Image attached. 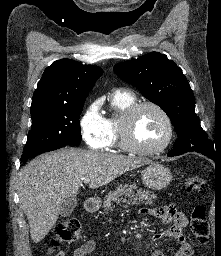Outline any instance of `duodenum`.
Wrapping results in <instances>:
<instances>
[{"instance_id":"1","label":"duodenum","mask_w":221,"mask_h":256,"mask_svg":"<svg viewBox=\"0 0 221 256\" xmlns=\"http://www.w3.org/2000/svg\"><path fill=\"white\" fill-rule=\"evenodd\" d=\"M84 209L87 212H95L97 210V202L93 199H88L84 203Z\"/></svg>"}]
</instances>
